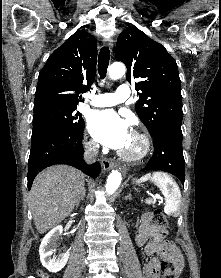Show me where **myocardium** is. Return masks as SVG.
<instances>
[{"instance_id":"myocardium-1","label":"myocardium","mask_w":221,"mask_h":278,"mask_svg":"<svg viewBox=\"0 0 221 278\" xmlns=\"http://www.w3.org/2000/svg\"><path fill=\"white\" fill-rule=\"evenodd\" d=\"M131 136L137 138L140 141V149L138 150V152L132 154L121 150L118 152V155L126 161L138 162L148 156L151 149V141L149 136L142 131L134 130L131 133Z\"/></svg>"}]
</instances>
